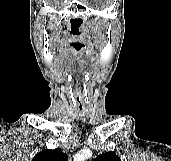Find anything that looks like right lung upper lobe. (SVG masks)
Masks as SVG:
<instances>
[{
    "label": "right lung upper lobe",
    "instance_id": "1",
    "mask_svg": "<svg viewBox=\"0 0 171 161\" xmlns=\"http://www.w3.org/2000/svg\"><path fill=\"white\" fill-rule=\"evenodd\" d=\"M32 161H68V157L60 149H45L35 155Z\"/></svg>",
    "mask_w": 171,
    "mask_h": 161
}]
</instances>
